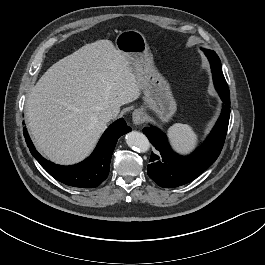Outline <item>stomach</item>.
Masks as SVG:
<instances>
[{"label":"stomach","instance_id":"1","mask_svg":"<svg viewBox=\"0 0 265 265\" xmlns=\"http://www.w3.org/2000/svg\"><path fill=\"white\" fill-rule=\"evenodd\" d=\"M115 46L131 62L144 93V102L159 117L168 122L176 111L170 85L154 66L153 56L142 33L136 30L121 32Z\"/></svg>","mask_w":265,"mask_h":265}]
</instances>
